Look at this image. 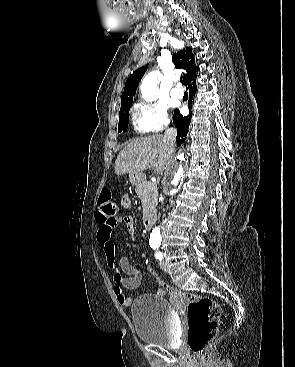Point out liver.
Wrapping results in <instances>:
<instances>
[{"label":"liver","instance_id":"1","mask_svg":"<svg viewBox=\"0 0 295 367\" xmlns=\"http://www.w3.org/2000/svg\"><path fill=\"white\" fill-rule=\"evenodd\" d=\"M173 153L174 149L169 148L162 135L136 139L119 152L115 173L119 176L153 169L156 174H162Z\"/></svg>","mask_w":295,"mask_h":367}]
</instances>
